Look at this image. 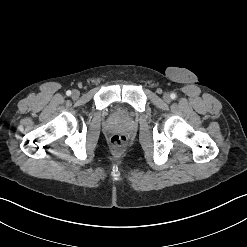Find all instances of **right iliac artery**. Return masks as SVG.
<instances>
[{
    "label": "right iliac artery",
    "instance_id": "right-iliac-artery-1",
    "mask_svg": "<svg viewBox=\"0 0 247 247\" xmlns=\"http://www.w3.org/2000/svg\"><path fill=\"white\" fill-rule=\"evenodd\" d=\"M66 95H67V96H70V95H71V91L68 90V91L66 92Z\"/></svg>",
    "mask_w": 247,
    "mask_h": 247
}]
</instances>
